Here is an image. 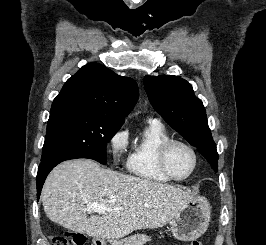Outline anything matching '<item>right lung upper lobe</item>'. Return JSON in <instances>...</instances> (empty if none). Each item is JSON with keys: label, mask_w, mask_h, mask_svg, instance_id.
I'll use <instances>...</instances> for the list:
<instances>
[{"label": "right lung upper lobe", "mask_w": 266, "mask_h": 245, "mask_svg": "<svg viewBox=\"0 0 266 245\" xmlns=\"http://www.w3.org/2000/svg\"><path fill=\"white\" fill-rule=\"evenodd\" d=\"M138 86L98 63H89L67 80L54 99L50 116L75 110H89L124 119L138 99Z\"/></svg>", "instance_id": "cb5924a9"}]
</instances>
